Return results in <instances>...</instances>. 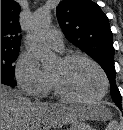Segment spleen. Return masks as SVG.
<instances>
[{
  "label": "spleen",
  "instance_id": "3e777b00",
  "mask_svg": "<svg viewBox=\"0 0 123 130\" xmlns=\"http://www.w3.org/2000/svg\"><path fill=\"white\" fill-rule=\"evenodd\" d=\"M106 130H120V126L117 121H111Z\"/></svg>",
  "mask_w": 123,
  "mask_h": 130
}]
</instances>
